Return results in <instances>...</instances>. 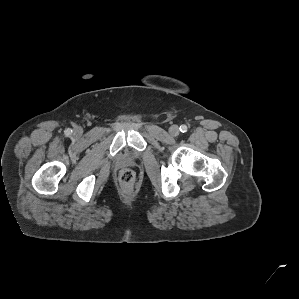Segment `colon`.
<instances>
[{
	"mask_svg": "<svg viewBox=\"0 0 299 299\" xmlns=\"http://www.w3.org/2000/svg\"><path fill=\"white\" fill-rule=\"evenodd\" d=\"M119 180L123 186L131 187L135 182V174L130 169H123L119 174Z\"/></svg>",
	"mask_w": 299,
	"mask_h": 299,
	"instance_id": "5ec220e1",
	"label": "colon"
}]
</instances>
